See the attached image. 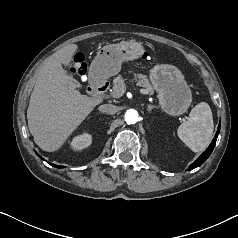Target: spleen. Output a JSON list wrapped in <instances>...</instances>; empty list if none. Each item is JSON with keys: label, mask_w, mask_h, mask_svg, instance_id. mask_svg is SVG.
<instances>
[{"label": "spleen", "mask_w": 238, "mask_h": 238, "mask_svg": "<svg viewBox=\"0 0 238 238\" xmlns=\"http://www.w3.org/2000/svg\"><path fill=\"white\" fill-rule=\"evenodd\" d=\"M214 131L212 111L206 102L197 104L187 121L178 130V137L193 151H203L211 142Z\"/></svg>", "instance_id": "spleen-1"}]
</instances>
